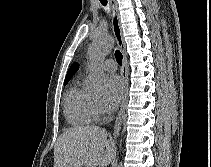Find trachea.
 Here are the masks:
<instances>
[{
  "label": "trachea",
  "mask_w": 211,
  "mask_h": 167,
  "mask_svg": "<svg viewBox=\"0 0 211 167\" xmlns=\"http://www.w3.org/2000/svg\"><path fill=\"white\" fill-rule=\"evenodd\" d=\"M101 4L106 6L107 5V0H100ZM115 58L118 62L119 65H122V59H123V56H122V53L119 51V50H116L115 51Z\"/></svg>",
  "instance_id": "3493384b"
}]
</instances>
